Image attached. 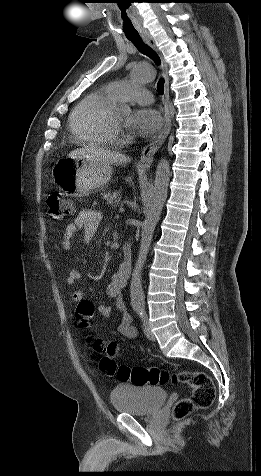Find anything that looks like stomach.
<instances>
[{
    "instance_id": "stomach-1",
    "label": "stomach",
    "mask_w": 261,
    "mask_h": 476,
    "mask_svg": "<svg viewBox=\"0 0 261 476\" xmlns=\"http://www.w3.org/2000/svg\"><path fill=\"white\" fill-rule=\"evenodd\" d=\"M54 182L65 195H89L104 187L111 180V164L93 161L79 156H66L53 169Z\"/></svg>"
}]
</instances>
